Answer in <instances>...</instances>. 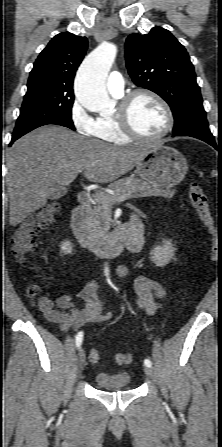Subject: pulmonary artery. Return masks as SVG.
I'll return each mask as SVG.
<instances>
[{
  "mask_svg": "<svg viewBox=\"0 0 222 447\" xmlns=\"http://www.w3.org/2000/svg\"><path fill=\"white\" fill-rule=\"evenodd\" d=\"M107 88L112 95L120 96L124 89V79L118 71L112 72L107 80Z\"/></svg>",
  "mask_w": 222,
  "mask_h": 447,
  "instance_id": "obj_1",
  "label": "pulmonary artery"
}]
</instances>
